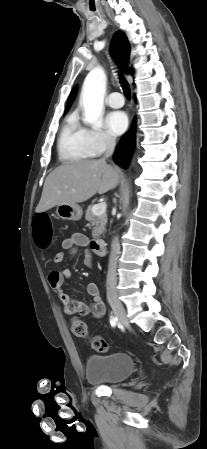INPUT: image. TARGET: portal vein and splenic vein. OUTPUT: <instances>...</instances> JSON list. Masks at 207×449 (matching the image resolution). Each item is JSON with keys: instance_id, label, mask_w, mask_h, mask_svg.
I'll return each mask as SVG.
<instances>
[{"instance_id": "obj_1", "label": "portal vein and splenic vein", "mask_w": 207, "mask_h": 449, "mask_svg": "<svg viewBox=\"0 0 207 449\" xmlns=\"http://www.w3.org/2000/svg\"><path fill=\"white\" fill-rule=\"evenodd\" d=\"M106 203L102 202L93 206V213L96 215H102L106 212Z\"/></svg>"}]
</instances>
